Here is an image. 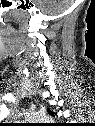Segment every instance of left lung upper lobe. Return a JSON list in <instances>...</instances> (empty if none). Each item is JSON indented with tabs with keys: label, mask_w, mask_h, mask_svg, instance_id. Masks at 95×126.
Returning <instances> with one entry per match:
<instances>
[{
	"label": "left lung upper lobe",
	"mask_w": 95,
	"mask_h": 126,
	"mask_svg": "<svg viewBox=\"0 0 95 126\" xmlns=\"http://www.w3.org/2000/svg\"><path fill=\"white\" fill-rule=\"evenodd\" d=\"M48 113H49L50 115H54V113H53V112H51L50 110H48Z\"/></svg>",
	"instance_id": "left-lung-upper-lobe-1"
}]
</instances>
